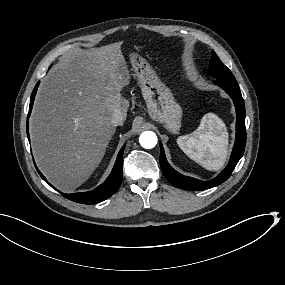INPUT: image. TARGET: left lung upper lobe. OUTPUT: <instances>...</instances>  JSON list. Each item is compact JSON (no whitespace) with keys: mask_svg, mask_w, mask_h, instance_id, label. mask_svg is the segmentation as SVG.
<instances>
[{"mask_svg":"<svg viewBox=\"0 0 285 285\" xmlns=\"http://www.w3.org/2000/svg\"><path fill=\"white\" fill-rule=\"evenodd\" d=\"M208 73L215 79L223 81L236 80L231 71L221 62L215 52L212 51Z\"/></svg>","mask_w":285,"mask_h":285,"instance_id":"5c2ea615","label":"left lung upper lobe"}]
</instances>
